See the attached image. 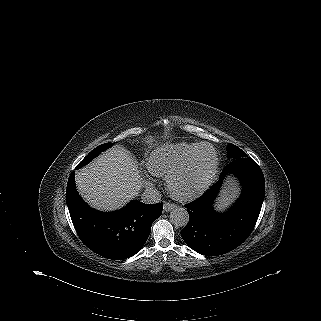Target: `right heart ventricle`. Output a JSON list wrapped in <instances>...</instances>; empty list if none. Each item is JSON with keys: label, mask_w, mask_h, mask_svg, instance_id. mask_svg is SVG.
Masks as SVG:
<instances>
[{"label": "right heart ventricle", "mask_w": 321, "mask_h": 321, "mask_svg": "<svg viewBox=\"0 0 321 321\" xmlns=\"http://www.w3.org/2000/svg\"><path fill=\"white\" fill-rule=\"evenodd\" d=\"M200 143L163 144L150 154L147 168L156 176H167L182 164Z\"/></svg>", "instance_id": "obj_1"}]
</instances>
